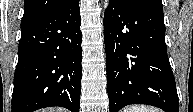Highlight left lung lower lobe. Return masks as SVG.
<instances>
[{
    "label": "left lung lower lobe",
    "mask_w": 193,
    "mask_h": 112,
    "mask_svg": "<svg viewBox=\"0 0 193 112\" xmlns=\"http://www.w3.org/2000/svg\"><path fill=\"white\" fill-rule=\"evenodd\" d=\"M163 6H126L110 0L104 17L110 112L146 104L179 112L167 56Z\"/></svg>",
    "instance_id": "0a47b994"
}]
</instances>
